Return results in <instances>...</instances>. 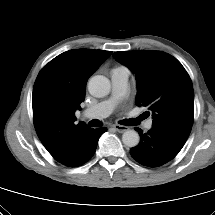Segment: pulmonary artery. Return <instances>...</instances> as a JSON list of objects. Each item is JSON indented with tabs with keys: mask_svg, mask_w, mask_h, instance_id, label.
Wrapping results in <instances>:
<instances>
[{
	"mask_svg": "<svg viewBox=\"0 0 215 215\" xmlns=\"http://www.w3.org/2000/svg\"><path fill=\"white\" fill-rule=\"evenodd\" d=\"M129 71L124 67L115 68L111 71L112 94L107 100L101 101L96 105L87 108L83 112L86 118L102 119L107 117L114 109L118 101L125 95L128 87ZM147 129H151L152 121H148L145 125Z\"/></svg>",
	"mask_w": 215,
	"mask_h": 215,
	"instance_id": "obj_1",
	"label": "pulmonary artery"
}]
</instances>
